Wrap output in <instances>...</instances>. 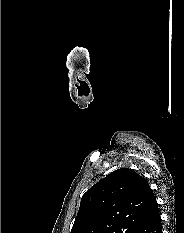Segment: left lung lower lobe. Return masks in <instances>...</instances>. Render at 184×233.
<instances>
[{
    "instance_id": "0a47b994",
    "label": "left lung lower lobe",
    "mask_w": 184,
    "mask_h": 233,
    "mask_svg": "<svg viewBox=\"0 0 184 233\" xmlns=\"http://www.w3.org/2000/svg\"><path fill=\"white\" fill-rule=\"evenodd\" d=\"M136 233H162L161 218L155 197L152 199Z\"/></svg>"
}]
</instances>
